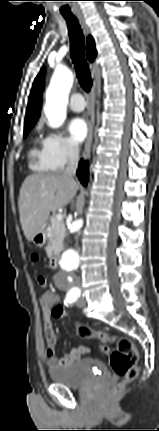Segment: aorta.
I'll return each mask as SVG.
<instances>
[{"label":"aorta","instance_id":"1","mask_svg":"<svg viewBox=\"0 0 159 431\" xmlns=\"http://www.w3.org/2000/svg\"><path fill=\"white\" fill-rule=\"evenodd\" d=\"M72 84V72L66 67H57L46 91V105L44 108L49 125L53 128L59 127L66 118V105ZM82 226V219L72 222V225L66 231L67 237L79 234ZM80 265L81 258L79 252L75 248L67 247L61 255L60 266L64 273L63 277L69 286H72L73 273Z\"/></svg>","mask_w":159,"mask_h":431}]
</instances>
